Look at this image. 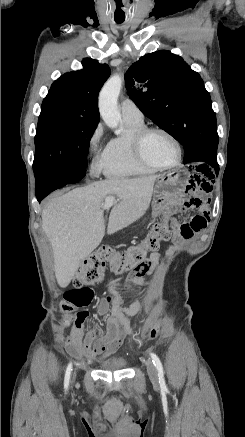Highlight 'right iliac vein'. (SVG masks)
I'll use <instances>...</instances> for the list:
<instances>
[{
    "instance_id": "63e3f726",
    "label": "right iliac vein",
    "mask_w": 245,
    "mask_h": 437,
    "mask_svg": "<svg viewBox=\"0 0 245 437\" xmlns=\"http://www.w3.org/2000/svg\"><path fill=\"white\" fill-rule=\"evenodd\" d=\"M75 378H76V371L73 374V381L75 380Z\"/></svg>"
}]
</instances>
